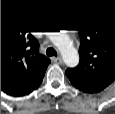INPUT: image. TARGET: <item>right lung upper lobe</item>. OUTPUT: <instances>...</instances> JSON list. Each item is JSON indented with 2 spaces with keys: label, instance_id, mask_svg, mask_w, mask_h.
<instances>
[{
  "label": "right lung upper lobe",
  "instance_id": "1",
  "mask_svg": "<svg viewBox=\"0 0 115 114\" xmlns=\"http://www.w3.org/2000/svg\"><path fill=\"white\" fill-rule=\"evenodd\" d=\"M28 32L24 24L1 22V90L12 96L38 88L50 63Z\"/></svg>",
  "mask_w": 115,
  "mask_h": 114
}]
</instances>
